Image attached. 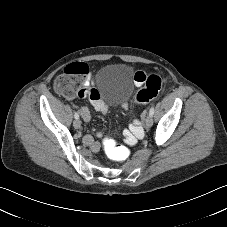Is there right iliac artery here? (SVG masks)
I'll list each match as a JSON object with an SVG mask.
<instances>
[{
  "instance_id": "1",
  "label": "right iliac artery",
  "mask_w": 227,
  "mask_h": 227,
  "mask_svg": "<svg viewBox=\"0 0 227 227\" xmlns=\"http://www.w3.org/2000/svg\"><path fill=\"white\" fill-rule=\"evenodd\" d=\"M74 118H75L76 120L79 119V114H78L77 112L74 114Z\"/></svg>"
}]
</instances>
